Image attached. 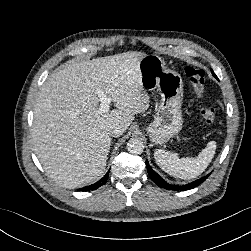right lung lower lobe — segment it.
<instances>
[{
	"label": "right lung lower lobe",
	"instance_id": "right-lung-lower-lobe-1",
	"mask_svg": "<svg viewBox=\"0 0 251 251\" xmlns=\"http://www.w3.org/2000/svg\"><path fill=\"white\" fill-rule=\"evenodd\" d=\"M108 176H109V172H107L105 174V176L102 179H100L98 182H96V183H94L92 185L86 186L84 188H81L80 190H82V191L96 190L99 187H101L107 181Z\"/></svg>",
	"mask_w": 251,
	"mask_h": 251
}]
</instances>
